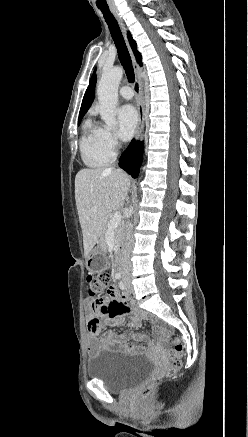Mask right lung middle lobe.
Here are the masks:
<instances>
[{
    "label": "right lung middle lobe",
    "instance_id": "obj_1",
    "mask_svg": "<svg viewBox=\"0 0 248 437\" xmlns=\"http://www.w3.org/2000/svg\"><path fill=\"white\" fill-rule=\"evenodd\" d=\"M82 118H83V116L79 117V119H78V125L80 124Z\"/></svg>",
    "mask_w": 248,
    "mask_h": 437
}]
</instances>
